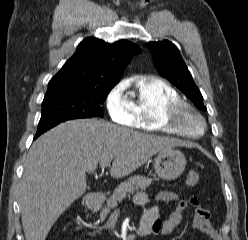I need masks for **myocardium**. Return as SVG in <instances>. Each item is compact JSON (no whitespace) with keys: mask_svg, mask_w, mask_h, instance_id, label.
I'll return each instance as SVG.
<instances>
[{"mask_svg":"<svg viewBox=\"0 0 248 240\" xmlns=\"http://www.w3.org/2000/svg\"><path fill=\"white\" fill-rule=\"evenodd\" d=\"M186 114H192L202 124V130L199 133H193L184 125ZM162 125L170 132L189 138H198L202 136L207 128V123L203 115L189 102L180 99L166 105L161 116Z\"/></svg>","mask_w":248,"mask_h":240,"instance_id":"f54148a6","label":"myocardium"}]
</instances>
